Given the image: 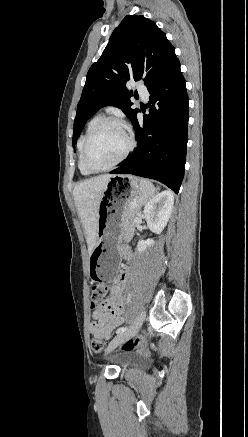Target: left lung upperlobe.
I'll return each mask as SVG.
<instances>
[{
  "mask_svg": "<svg viewBox=\"0 0 248 437\" xmlns=\"http://www.w3.org/2000/svg\"><path fill=\"white\" fill-rule=\"evenodd\" d=\"M176 58L174 47L153 21L142 15L126 16L87 73L74 121L73 147L85 122L103 106L120 108L133 122L139 110L131 108L127 81L143 80L148 87Z\"/></svg>",
  "mask_w": 248,
  "mask_h": 437,
  "instance_id": "left-lung-upper-lobe-1",
  "label": "left lung upper lobe"
}]
</instances>
